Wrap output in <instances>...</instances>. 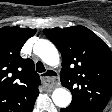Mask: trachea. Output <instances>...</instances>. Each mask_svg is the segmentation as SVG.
<instances>
[{
	"label": "trachea",
	"mask_w": 112,
	"mask_h": 112,
	"mask_svg": "<svg viewBox=\"0 0 112 112\" xmlns=\"http://www.w3.org/2000/svg\"><path fill=\"white\" fill-rule=\"evenodd\" d=\"M36 71L39 72V73L45 72V67H44L42 62L38 61L36 63Z\"/></svg>",
	"instance_id": "3493384b"
}]
</instances>
